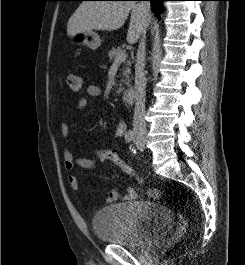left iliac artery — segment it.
Masks as SVG:
<instances>
[{"label": "left iliac artery", "mask_w": 245, "mask_h": 265, "mask_svg": "<svg viewBox=\"0 0 245 265\" xmlns=\"http://www.w3.org/2000/svg\"><path fill=\"white\" fill-rule=\"evenodd\" d=\"M132 151H133V153H135V150H134V148H132Z\"/></svg>", "instance_id": "left-iliac-artery-1"}]
</instances>
